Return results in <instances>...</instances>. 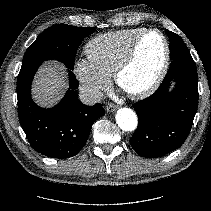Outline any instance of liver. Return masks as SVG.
<instances>
[{"label":"liver","mask_w":211,"mask_h":211,"mask_svg":"<svg viewBox=\"0 0 211 211\" xmlns=\"http://www.w3.org/2000/svg\"><path fill=\"white\" fill-rule=\"evenodd\" d=\"M66 88L64 66L57 62H47L35 77L32 97L40 106L50 107L60 100Z\"/></svg>","instance_id":"liver-1"}]
</instances>
